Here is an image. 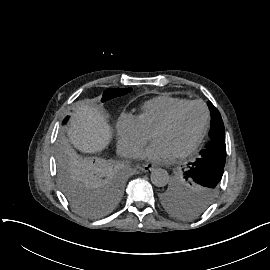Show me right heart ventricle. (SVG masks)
I'll return each mask as SVG.
<instances>
[{
    "instance_id": "obj_1",
    "label": "right heart ventricle",
    "mask_w": 270,
    "mask_h": 270,
    "mask_svg": "<svg viewBox=\"0 0 270 270\" xmlns=\"http://www.w3.org/2000/svg\"><path fill=\"white\" fill-rule=\"evenodd\" d=\"M187 99L168 95L155 97L145 102L134 117L146 133H151L161 122L168 119L176 110L187 104Z\"/></svg>"
}]
</instances>
